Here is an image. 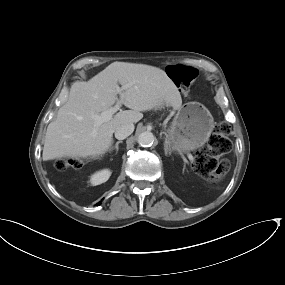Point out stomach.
I'll return each instance as SVG.
<instances>
[{
    "instance_id": "stomach-1",
    "label": "stomach",
    "mask_w": 285,
    "mask_h": 285,
    "mask_svg": "<svg viewBox=\"0 0 285 285\" xmlns=\"http://www.w3.org/2000/svg\"><path fill=\"white\" fill-rule=\"evenodd\" d=\"M213 118L209 110L195 102L178 109L165 133V145L178 152H188L203 146L213 130Z\"/></svg>"
}]
</instances>
